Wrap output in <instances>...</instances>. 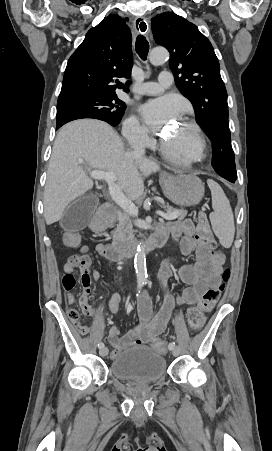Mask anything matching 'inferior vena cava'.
<instances>
[{
	"mask_svg": "<svg viewBox=\"0 0 272 451\" xmlns=\"http://www.w3.org/2000/svg\"><path fill=\"white\" fill-rule=\"evenodd\" d=\"M131 146L133 148V154H135V156H144L145 142L143 138H138V140H132Z\"/></svg>",
	"mask_w": 272,
	"mask_h": 451,
	"instance_id": "inferior-vena-cava-1",
	"label": "inferior vena cava"
}]
</instances>
